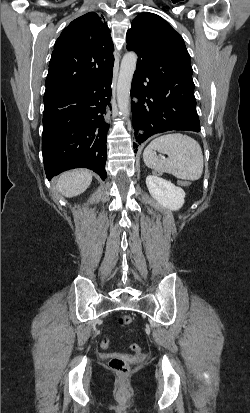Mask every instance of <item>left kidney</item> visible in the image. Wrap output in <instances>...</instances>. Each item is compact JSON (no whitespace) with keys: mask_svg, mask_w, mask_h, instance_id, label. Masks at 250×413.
Returning <instances> with one entry per match:
<instances>
[{"mask_svg":"<svg viewBox=\"0 0 250 413\" xmlns=\"http://www.w3.org/2000/svg\"><path fill=\"white\" fill-rule=\"evenodd\" d=\"M146 185L151 196L164 208L179 210L184 204L185 192L156 174L147 176Z\"/></svg>","mask_w":250,"mask_h":413,"instance_id":"1","label":"left kidney"}]
</instances>
